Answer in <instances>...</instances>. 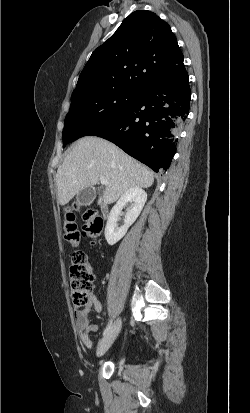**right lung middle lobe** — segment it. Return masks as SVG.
Wrapping results in <instances>:
<instances>
[{"label":"right lung middle lobe","mask_w":250,"mask_h":413,"mask_svg":"<svg viewBox=\"0 0 250 413\" xmlns=\"http://www.w3.org/2000/svg\"><path fill=\"white\" fill-rule=\"evenodd\" d=\"M138 89L117 87L72 94L63 129V147L106 124L137 98Z\"/></svg>","instance_id":"1"}]
</instances>
